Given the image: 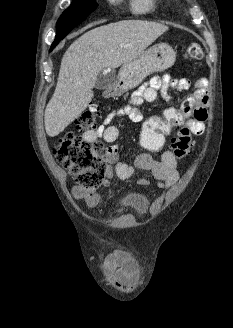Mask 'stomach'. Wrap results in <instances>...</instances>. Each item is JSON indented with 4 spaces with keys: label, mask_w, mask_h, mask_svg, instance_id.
I'll return each instance as SVG.
<instances>
[{
    "label": "stomach",
    "mask_w": 233,
    "mask_h": 328,
    "mask_svg": "<svg viewBox=\"0 0 233 328\" xmlns=\"http://www.w3.org/2000/svg\"><path fill=\"white\" fill-rule=\"evenodd\" d=\"M175 60L176 53L168 44L160 43L150 47L138 58L121 67L116 88L110 95H120L138 86L148 75L170 68Z\"/></svg>",
    "instance_id": "stomach-1"
}]
</instances>
